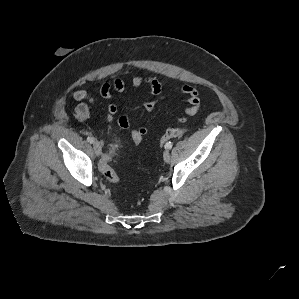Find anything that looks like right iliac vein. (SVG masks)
<instances>
[{
  "instance_id": "63e3f726",
  "label": "right iliac vein",
  "mask_w": 299,
  "mask_h": 299,
  "mask_svg": "<svg viewBox=\"0 0 299 299\" xmlns=\"http://www.w3.org/2000/svg\"><path fill=\"white\" fill-rule=\"evenodd\" d=\"M93 149H94V152H95V154L97 156H99L101 154V152H102L101 145L97 141H94V143H93Z\"/></svg>"
}]
</instances>
